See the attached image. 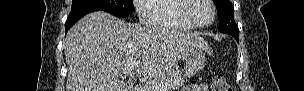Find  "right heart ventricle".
I'll use <instances>...</instances> for the list:
<instances>
[{
    "instance_id": "1",
    "label": "right heart ventricle",
    "mask_w": 304,
    "mask_h": 91,
    "mask_svg": "<svg viewBox=\"0 0 304 91\" xmlns=\"http://www.w3.org/2000/svg\"><path fill=\"white\" fill-rule=\"evenodd\" d=\"M183 0H153L147 6L151 25L166 29L190 30L193 28L181 14Z\"/></svg>"
}]
</instances>
